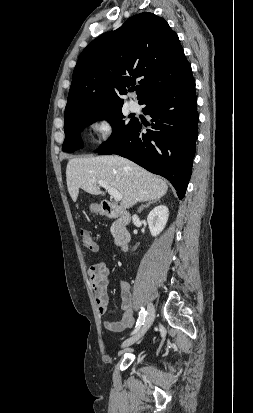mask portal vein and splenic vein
<instances>
[{"label": "portal vein and splenic vein", "instance_id": "18ae733b", "mask_svg": "<svg viewBox=\"0 0 253 413\" xmlns=\"http://www.w3.org/2000/svg\"><path fill=\"white\" fill-rule=\"evenodd\" d=\"M98 184L101 187H103L104 189H106L107 192L114 198V200L120 201L122 199V194L119 191H117L116 189L109 186L106 182L98 181Z\"/></svg>", "mask_w": 253, "mask_h": 413}]
</instances>
